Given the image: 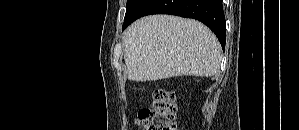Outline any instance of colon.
Listing matches in <instances>:
<instances>
[{
    "instance_id": "obj_1",
    "label": "colon",
    "mask_w": 299,
    "mask_h": 130,
    "mask_svg": "<svg viewBox=\"0 0 299 130\" xmlns=\"http://www.w3.org/2000/svg\"><path fill=\"white\" fill-rule=\"evenodd\" d=\"M177 104L172 91L158 89L149 108L139 112L142 130H180L176 123Z\"/></svg>"
}]
</instances>
